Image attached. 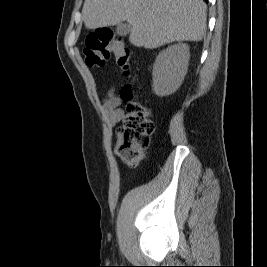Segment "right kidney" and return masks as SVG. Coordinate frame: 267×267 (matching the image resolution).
<instances>
[{"label":"right kidney","mask_w":267,"mask_h":267,"mask_svg":"<svg viewBox=\"0 0 267 267\" xmlns=\"http://www.w3.org/2000/svg\"><path fill=\"white\" fill-rule=\"evenodd\" d=\"M190 59L189 46L175 44L161 51L153 66V92L160 97L174 93L182 84Z\"/></svg>","instance_id":"right-kidney-1"}]
</instances>
